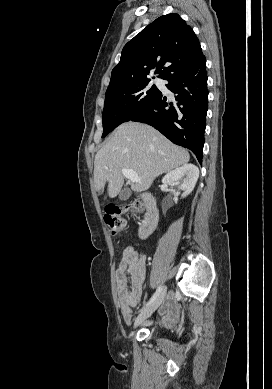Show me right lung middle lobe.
Returning <instances> with one entry per match:
<instances>
[{
	"label": "right lung middle lobe",
	"mask_w": 272,
	"mask_h": 389,
	"mask_svg": "<svg viewBox=\"0 0 272 389\" xmlns=\"http://www.w3.org/2000/svg\"><path fill=\"white\" fill-rule=\"evenodd\" d=\"M150 80L141 81L106 92L102 113L104 138L121 123L130 121L160 94Z\"/></svg>",
	"instance_id": "1"
}]
</instances>
